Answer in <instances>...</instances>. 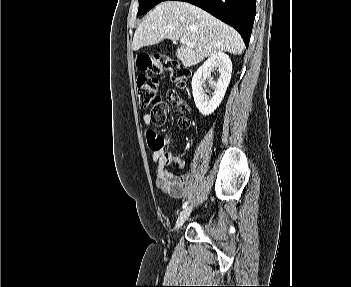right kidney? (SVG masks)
I'll use <instances>...</instances> for the list:
<instances>
[{
	"mask_svg": "<svg viewBox=\"0 0 351 287\" xmlns=\"http://www.w3.org/2000/svg\"><path fill=\"white\" fill-rule=\"evenodd\" d=\"M218 69L219 78L214 85V94L211 99L207 97L203 89L204 81L211 77L213 69ZM232 62L229 56L223 52L211 55L202 66L195 72L192 78V90L196 107L199 112L208 116L212 114L222 102L226 89L230 83Z\"/></svg>",
	"mask_w": 351,
	"mask_h": 287,
	"instance_id": "obj_1",
	"label": "right kidney"
}]
</instances>
